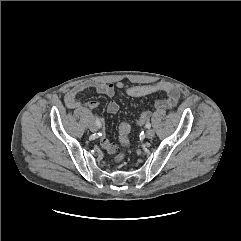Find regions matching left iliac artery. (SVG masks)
<instances>
[{
	"label": "left iliac artery",
	"instance_id": "obj_1",
	"mask_svg": "<svg viewBox=\"0 0 241 241\" xmlns=\"http://www.w3.org/2000/svg\"><path fill=\"white\" fill-rule=\"evenodd\" d=\"M145 127L149 129L151 127V124L150 123H146Z\"/></svg>",
	"mask_w": 241,
	"mask_h": 241
}]
</instances>
